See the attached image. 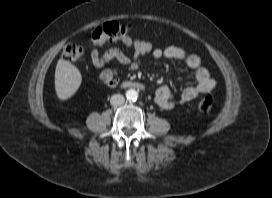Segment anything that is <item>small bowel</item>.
Wrapping results in <instances>:
<instances>
[{
    "mask_svg": "<svg viewBox=\"0 0 272 198\" xmlns=\"http://www.w3.org/2000/svg\"><path fill=\"white\" fill-rule=\"evenodd\" d=\"M121 42L128 52L117 47H112L103 53L96 48L91 52V61L97 79L108 88L116 87L120 81V75L125 71L140 69L143 66V59L147 57L180 61L194 72L196 85L184 88L177 96L167 85L160 86L156 90L154 102L162 109H172L177 101L190 102L199 95L212 91L216 85L215 80L202 66L201 59L196 54L187 53L177 46L153 48L149 42L131 37H124ZM110 60L118 61L122 67L103 68Z\"/></svg>",
    "mask_w": 272,
    "mask_h": 198,
    "instance_id": "small-bowel-1",
    "label": "small bowel"
}]
</instances>
